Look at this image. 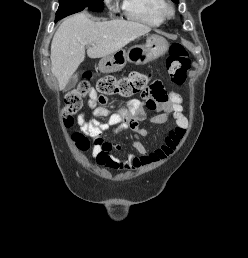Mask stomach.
<instances>
[{"label":"stomach","mask_w":248,"mask_h":258,"mask_svg":"<svg viewBox=\"0 0 248 258\" xmlns=\"http://www.w3.org/2000/svg\"><path fill=\"white\" fill-rule=\"evenodd\" d=\"M168 50V42L160 36L153 35L147 38L144 45H134L128 50H119L103 57L98 68L103 73H114L122 70L127 62L146 64L164 55Z\"/></svg>","instance_id":"obj_1"}]
</instances>
